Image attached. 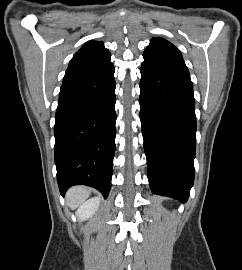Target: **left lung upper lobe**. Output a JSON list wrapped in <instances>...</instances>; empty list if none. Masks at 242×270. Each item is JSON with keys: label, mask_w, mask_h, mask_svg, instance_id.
<instances>
[{"label": "left lung upper lobe", "mask_w": 242, "mask_h": 270, "mask_svg": "<svg viewBox=\"0 0 242 270\" xmlns=\"http://www.w3.org/2000/svg\"><path fill=\"white\" fill-rule=\"evenodd\" d=\"M143 57L150 61L169 62L186 67L181 52L163 38H153L145 49Z\"/></svg>", "instance_id": "5c2ea615"}]
</instances>
